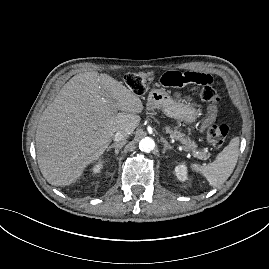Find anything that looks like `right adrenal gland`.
<instances>
[{"instance_id": "right-adrenal-gland-1", "label": "right adrenal gland", "mask_w": 269, "mask_h": 269, "mask_svg": "<svg viewBox=\"0 0 269 269\" xmlns=\"http://www.w3.org/2000/svg\"><path fill=\"white\" fill-rule=\"evenodd\" d=\"M126 144V142H120V143H114L111 146L107 148V152L110 151L111 149H115V154L118 155L120 149Z\"/></svg>"}]
</instances>
